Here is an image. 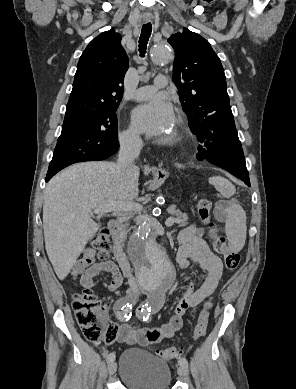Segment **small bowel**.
<instances>
[{
  "mask_svg": "<svg viewBox=\"0 0 296 389\" xmlns=\"http://www.w3.org/2000/svg\"><path fill=\"white\" fill-rule=\"evenodd\" d=\"M227 206L220 202L216 208V216L220 221L226 218ZM180 247L177 253V263L185 271L183 277V293L177 303L174 313L169 321L160 327H138L129 323L119 326L116 341L129 345L146 346L161 342L172 337L184 324V316L188 309L195 308L210 296L222 276L223 265L204 239V230L195 223L185 227L178 234ZM96 252L92 248L84 250L80 259L74 264L71 271L72 279L80 286L89 288L93 285V279L102 272L111 275V281L107 284L108 292L116 293L122 286L124 274L120 267L113 261L95 262ZM190 261L198 263L204 274V282L194 290L191 276L188 274Z\"/></svg>",
  "mask_w": 296,
  "mask_h": 389,
  "instance_id": "obj_1",
  "label": "small bowel"
}]
</instances>
